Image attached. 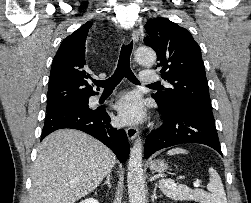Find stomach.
Returning a JSON list of instances; mask_svg holds the SVG:
<instances>
[{"label": "stomach", "mask_w": 251, "mask_h": 203, "mask_svg": "<svg viewBox=\"0 0 251 203\" xmlns=\"http://www.w3.org/2000/svg\"><path fill=\"white\" fill-rule=\"evenodd\" d=\"M151 170L162 173L168 169V164L165 160H155L150 163Z\"/></svg>", "instance_id": "obj_1"}]
</instances>
